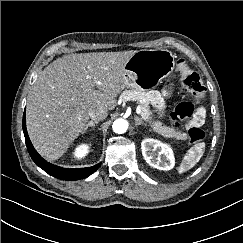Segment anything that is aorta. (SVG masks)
<instances>
[{"instance_id": "1", "label": "aorta", "mask_w": 243, "mask_h": 243, "mask_svg": "<svg viewBox=\"0 0 243 243\" xmlns=\"http://www.w3.org/2000/svg\"><path fill=\"white\" fill-rule=\"evenodd\" d=\"M113 131L117 134H123L128 129V122L125 119L119 118L113 122Z\"/></svg>"}]
</instances>
